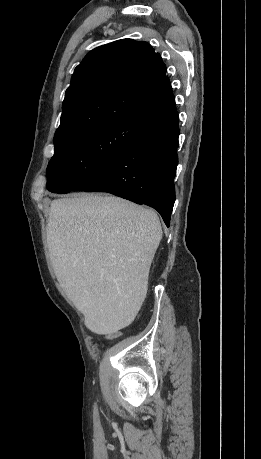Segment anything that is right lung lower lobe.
Masks as SVG:
<instances>
[{"mask_svg": "<svg viewBox=\"0 0 261 459\" xmlns=\"http://www.w3.org/2000/svg\"><path fill=\"white\" fill-rule=\"evenodd\" d=\"M177 110L150 124L118 157L73 191L108 192L156 209L169 227L178 164Z\"/></svg>", "mask_w": 261, "mask_h": 459, "instance_id": "obj_1", "label": "right lung lower lobe"}]
</instances>
